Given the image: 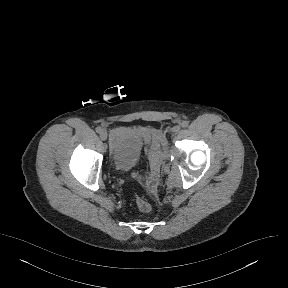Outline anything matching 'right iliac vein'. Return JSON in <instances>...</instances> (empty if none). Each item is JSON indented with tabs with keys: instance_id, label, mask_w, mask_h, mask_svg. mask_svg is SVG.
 <instances>
[{
	"instance_id": "obj_1",
	"label": "right iliac vein",
	"mask_w": 288,
	"mask_h": 288,
	"mask_svg": "<svg viewBox=\"0 0 288 288\" xmlns=\"http://www.w3.org/2000/svg\"><path fill=\"white\" fill-rule=\"evenodd\" d=\"M100 138H101V140L105 141L107 139V132L103 130L100 133Z\"/></svg>"
}]
</instances>
